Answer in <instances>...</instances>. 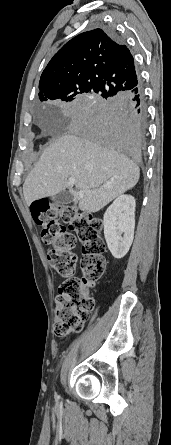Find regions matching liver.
Masks as SVG:
<instances>
[{
    "instance_id": "1",
    "label": "liver",
    "mask_w": 171,
    "mask_h": 445,
    "mask_svg": "<svg viewBox=\"0 0 171 445\" xmlns=\"http://www.w3.org/2000/svg\"><path fill=\"white\" fill-rule=\"evenodd\" d=\"M139 176L136 163L120 157L102 142L65 134L55 138L44 150L24 182L23 193L30 206L37 199L69 188L80 210L95 213L133 188ZM69 178L75 179L77 189L90 192L80 197L69 184Z\"/></svg>"
}]
</instances>
